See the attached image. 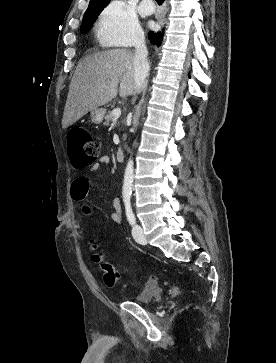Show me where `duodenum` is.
<instances>
[{"label": "duodenum", "mask_w": 276, "mask_h": 363, "mask_svg": "<svg viewBox=\"0 0 276 363\" xmlns=\"http://www.w3.org/2000/svg\"><path fill=\"white\" fill-rule=\"evenodd\" d=\"M125 158V152L123 149H118L116 151V159L119 161V162H122Z\"/></svg>", "instance_id": "obj_1"}]
</instances>
